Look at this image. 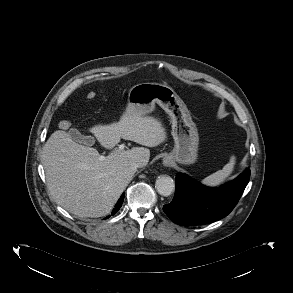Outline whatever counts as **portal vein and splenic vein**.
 Listing matches in <instances>:
<instances>
[{"mask_svg":"<svg viewBox=\"0 0 293 293\" xmlns=\"http://www.w3.org/2000/svg\"><path fill=\"white\" fill-rule=\"evenodd\" d=\"M125 148L124 144L119 145L118 150H123ZM106 157L105 156H100V160H104Z\"/></svg>","mask_w":293,"mask_h":293,"instance_id":"obj_1","label":"portal vein and splenic vein"}]
</instances>
